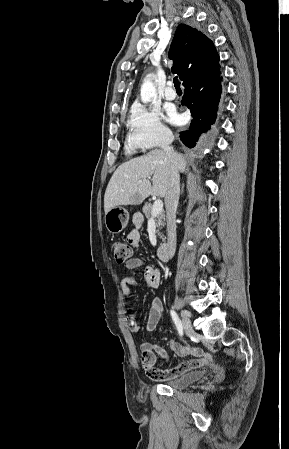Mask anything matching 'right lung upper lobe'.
I'll return each mask as SVG.
<instances>
[{"mask_svg":"<svg viewBox=\"0 0 289 449\" xmlns=\"http://www.w3.org/2000/svg\"><path fill=\"white\" fill-rule=\"evenodd\" d=\"M169 58L174 62L172 72L179 75L183 85L203 77L219 64L213 42L202 32L184 24L177 27Z\"/></svg>","mask_w":289,"mask_h":449,"instance_id":"1","label":"right lung upper lobe"}]
</instances>
